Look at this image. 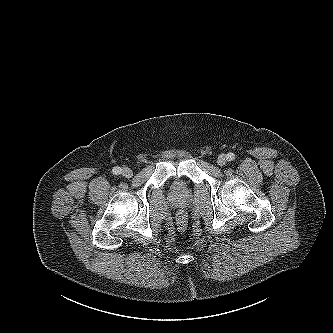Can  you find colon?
<instances>
[{
    "label": "colon",
    "instance_id": "5ec220e1",
    "mask_svg": "<svg viewBox=\"0 0 333 333\" xmlns=\"http://www.w3.org/2000/svg\"><path fill=\"white\" fill-rule=\"evenodd\" d=\"M177 226L180 231H184L187 227V216L184 212H180L177 217Z\"/></svg>",
    "mask_w": 333,
    "mask_h": 333
}]
</instances>
